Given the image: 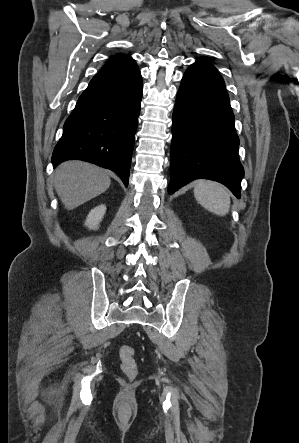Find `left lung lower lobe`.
Instances as JSON below:
<instances>
[{
    "label": "left lung lower lobe",
    "mask_w": 299,
    "mask_h": 443,
    "mask_svg": "<svg viewBox=\"0 0 299 443\" xmlns=\"http://www.w3.org/2000/svg\"><path fill=\"white\" fill-rule=\"evenodd\" d=\"M172 134L169 194L201 178L224 184L240 198L239 138L224 80L215 68L196 62L185 72Z\"/></svg>",
    "instance_id": "0a47b994"
}]
</instances>
